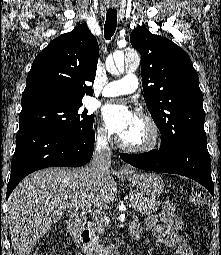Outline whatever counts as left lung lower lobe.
Returning <instances> with one entry per match:
<instances>
[{
  "label": "left lung lower lobe",
  "instance_id": "left-lung-lower-lobe-1",
  "mask_svg": "<svg viewBox=\"0 0 221 255\" xmlns=\"http://www.w3.org/2000/svg\"><path fill=\"white\" fill-rule=\"evenodd\" d=\"M127 163L150 171L174 173L191 178L214 196L210 156L206 140H189L174 149L160 147L143 154H122Z\"/></svg>",
  "mask_w": 221,
  "mask_h": 255
}]
</instances>
